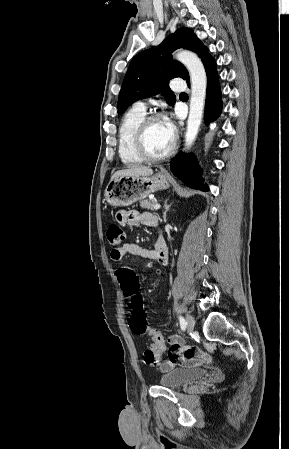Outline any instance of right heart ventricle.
I'll use <instances>...</instances> for the list:
<instances>
[{
	"mask_svg": "<svg viewBox=\"0 0 289 449\" xmlns=\"http://www.w3.org/2000/svg\"><path fill=\"white\" fill-rule=\"evenodd\" d=\"M145 117V110L134 106L122 119L119 129L118 153L125 165L132 166L143 162V159L136 152L134 137L139 124Z\"/></svg>",
	"mask_w": 289,
	"mask_h": 449,
	"instance_id": "1",
	"label": "right heart ventricle"
}]
</instances>
